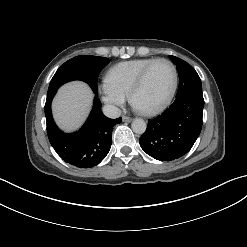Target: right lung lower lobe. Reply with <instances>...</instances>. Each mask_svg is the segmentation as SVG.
Listing matches in <instances>:
<instances>
[{"mask_svg": "<svg viewBox=\"0 0 247 247\" xmlns=\"http://www.w3.org/2000/svg\"><path fill=\"white\" fill-rule=\"evenodd\" d=\"M55 92L47 94L45 116L49 141L57 154L67 163L79 168L98 165L108 154L112 143V130L122 118L110 119L101 111V103L94 99L93 110L77 132L66 134L56 126L51 113Z\"/></svg>", "mask_w": 247, "mask_h": 247, "instance_id": "obj_1", "label": "right lung lower lobe"}]
</instances>
